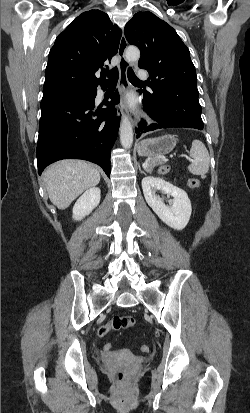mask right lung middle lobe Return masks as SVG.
<instances>
[{"label":"right lung middle lobe","instance_id":"right-lung-middle-lobe-1","mask_svg":"<svg viewBox=\"0 0 250 413\" xmlns=\"http://www.w3.org/2000/svg\"><path fill=\"white\" fill-rule=\"evenodd\" d=\"M75 92H84V91H72V92L60 93V94H58V95H56V96L65 95V94H69V93H75Z\"/></svg>","mask_w":250,"mask_h":413}]
</instances>
